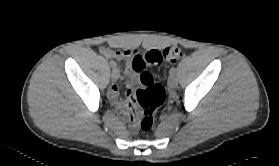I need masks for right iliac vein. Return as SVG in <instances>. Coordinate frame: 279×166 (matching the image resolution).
Instances as JSON below:
<instances>
[{
	"label": "right iliac vein",
	"mask_w": 279,
	"mask_h": 166,
	"mask_svg": "<svg viewBox=\"0 0 279 166\" xmlns=\"http://www.w3.org/2000/svg\"><path fill=\"white\" fill-rule=\"evenodd\" d=\"M119 78V72L117 69H113L111 73L112 81H116Z\"/></svg>",
	"instance_id": "63e3f726"
}]
</instances>
